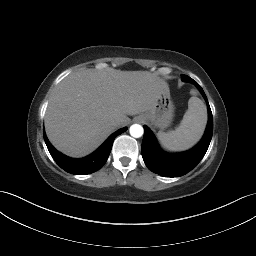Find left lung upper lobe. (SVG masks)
<instances>
[{"instance_id": "obj_1", "label": "left lung upper lobe", "mask_w": 256, "mask_h": 256, "mask_svg": "<svg viewBox=\"0 0 256 256\" xmlns=\"http://www.w3.org/2000/svg\"><path fill=\"white\" fill-rule=\"evenodd\" d=\"M181 78H182V80H183V81H187L188 76H186V75H182V77H181Z\"/></svg>"}]
</instances>
